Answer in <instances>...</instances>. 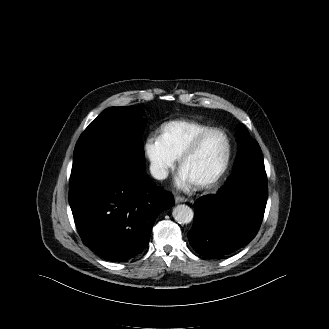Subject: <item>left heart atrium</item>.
<instances>
[{
    "label": "left heart atrium",
    "instance_id": "obj_1",
    "mask_svg": "<svg viewBox=\"0 0 329 329\" xmlns=\"http://www.w3.org/2000/svg\"><path fill=\"white\" fill-rule=\"evenodd\" d=\"M176 183L179 188L184 190L192 189L194 186V183L182 171L178 174Z\"/></svg>",
    "mask_w": 329,
    "mask_h": 329
}]
</instances>
